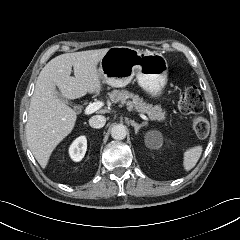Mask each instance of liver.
I'll use <instances>...</instances> for the list:
<instances>
[{
  "mask_svg": "<svg viewBox=\"0 0 240 240\" xmlns=\"http://www.w3.org/2000/svg\"><path fill=\"white\" fill-rule=\"evenodd\" d=\"M108 49L62 54L41 70L30 102L26 136L42 168H46L53 150L71 133L77 119L76 112L57 97L56 86L67 99L99 94L102 86L97 65Z\"/></svg>",
  "mask_w": 240,
  "mask_h": 240,
  "instance_id": "1",
  "label": "liver"
}]
</instances>
